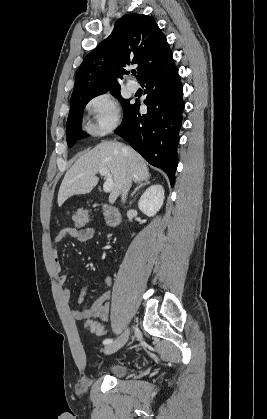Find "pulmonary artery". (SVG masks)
Masks as SVG:
<instances>
[{
  "label": "pulmonary artery",
  "mask_w": 267,
  "mask_h": 419,
  "mask_svg": "<svg viewBox=\"0 0 267 419\" xmlns=\"http://www.w3.org/2000/svg\"><path fill=\"white\" fill-rule=\"evenodd\" d=\"M127 88L131 92H136L138 90L139 86H138V83L137 82H135L133 80H130L127 83Z\"/></svg>",
  "instance_id": "pulmonary-artery-1"
}]
</instances>
